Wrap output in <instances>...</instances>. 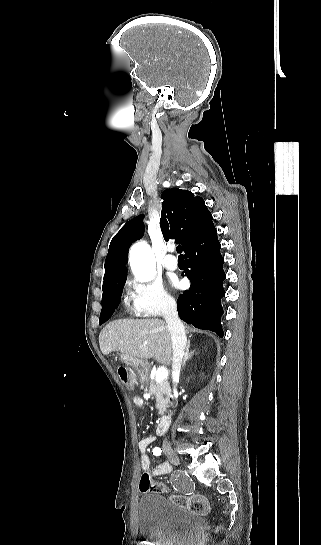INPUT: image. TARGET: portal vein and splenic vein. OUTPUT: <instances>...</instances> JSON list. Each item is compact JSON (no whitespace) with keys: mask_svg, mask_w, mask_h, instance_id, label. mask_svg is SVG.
<instances>
[{"mask_svg":"<svg viewBox=\"0 0 321 545\" xmlns=\"http://www.w3.org/2000/svg\"><path fill=\"white\" fill-rule=\"evenodd\" d=\"M167 377H168V371L166 367H159L155 375L156 383H161V381H164V379H167Z\"/></svg>","mask_w":321,"mask_h":545,"instance_id":"1","label":"portal vein and splenic vein"}]
</instances>
